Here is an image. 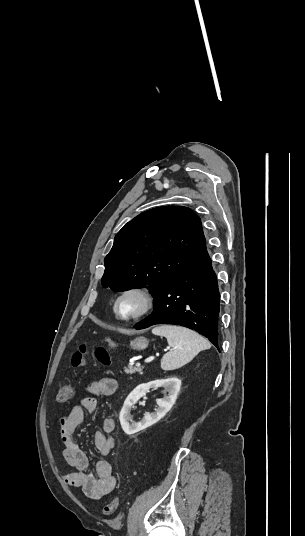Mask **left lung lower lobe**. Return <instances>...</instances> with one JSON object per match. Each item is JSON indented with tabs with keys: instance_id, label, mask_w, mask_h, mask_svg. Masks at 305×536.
<instances>
[{
	"instance_id": "obj_1",
	"label": "left lung lower lobe",
	"mask_w": 305,
	"mask_h": 536,
	"mask_svg": "<svg viewBox=\"0 0 305 536\" xmlns=\"http://www.w3.org/2000/svg\"><path fill=\"white\" fill-rule=\"evenodd\" d=\"M220 294L206 246L154 297V311L136 329L175 324L193 329L218 347Z\"/></svg>"
}]
</instances>
